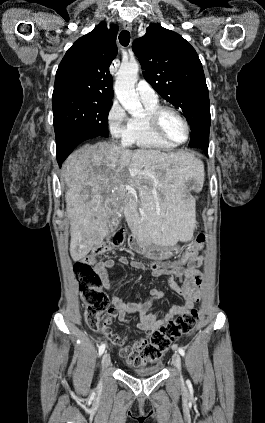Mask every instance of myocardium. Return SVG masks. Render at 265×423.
<instances>
[{
    "instance_id": "myocardium-1",
    "label": "myocardium",
    "mask_w": 265,
    "mask_h": 423,
    "mask_svg": "<svg viewBox=\"0 0 265 423\" xmlns=\"http://www.w3.org/2000/svg\"><path fill=\"white\" fill-rule=\"evenodd\" d=\"M166 112H171L175 114L184 124L186 129V137L183 141L176 142L169 138L163 131L161 119ZM147 119L153 132L164 142L173 146H180L188 142L190 138L191 127L186 117L178 109L172 106H158L147 114Z\"/></svg>"
}]
</instances>
